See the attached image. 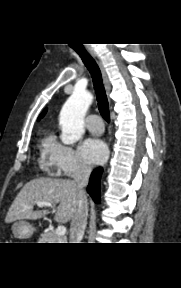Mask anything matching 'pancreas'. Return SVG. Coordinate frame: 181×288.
Masks as SVG:
<instances>
[{"mask_svg":"<svg viewBox=\"0 0 181 288\" xmlns=\"http://www.w3.org/2000/svg\"><path fill=\"white\" fill-rule=\"evenodd\" d=\"M66 238L58 236L55 231L43 233L39 238L40 243H65Z\"/></svg>","mask_w":181,"mask_h":288,"instance_id":"pancreas-1","label":"pancreas"}]
</instances>
